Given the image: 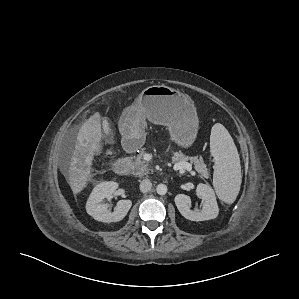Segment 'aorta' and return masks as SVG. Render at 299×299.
<instances>
[{
  "instance_id": "762f6f07",
  "label": "aorta",
  "mask_w": 299,
  "mask_h": 299,
  "mask_svg": "<svg viewBox=\"0 0 299 299\" xmlns=\"http://www.w3.org/2000/svg\"><path fill=\"white\" fill-rule=\"evenodd\" d=\"M156 191L159 195H165L167 193V186L165 184H159L156 187Z\"/></svg>"
}]
</instances>
